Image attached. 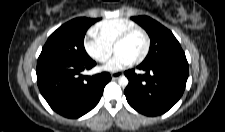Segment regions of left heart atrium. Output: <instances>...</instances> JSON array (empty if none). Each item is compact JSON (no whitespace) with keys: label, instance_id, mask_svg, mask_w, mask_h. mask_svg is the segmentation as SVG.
I'll list each match as a JSON object with an SVG mask.
<instances>
[{"label":"left heart atrium","instance_id":"left-heart-atrium-1","mask_svg":"<svg viewBox=\"0 0 225 132\" xmlns=\"http://www.w3.org/2000/svg\"><path fill=\"white\" fill-rule=\"evenodd\" d=\"M132 63V60L125 54L116 52L113 58L103 67L106 71L116 72L124 69Z\"/></svg>","mask_w":225,"mask_h":132}]
</instances>
